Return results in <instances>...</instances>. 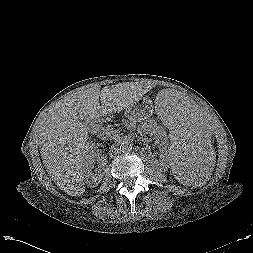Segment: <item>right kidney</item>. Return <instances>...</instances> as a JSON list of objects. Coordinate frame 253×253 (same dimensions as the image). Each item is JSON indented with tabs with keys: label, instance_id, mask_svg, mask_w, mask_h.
<instances>
[{
	"label": "right kidney",
	"instance_id": "ca27d5eb",
	"mask_svg": "<svg viewBox=\"0 0 253 253\" xmlns=\"http://www.w3.org/2000/svg\"><path fill=\"white\" fill-rule=\"evenodd\" d=\"M99 149L94 141L87 142L82 172L84 174L85 182L90 187H96L101 181L100 175L94 174L92 172L94 168L95 157L98 155Z\"/></svg>",
	"mask_w": 253,
	"mask_h": 253
}]
</instances>
